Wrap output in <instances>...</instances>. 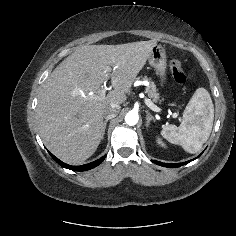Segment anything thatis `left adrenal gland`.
I'll list each match as a JSON object with an SVG mask.
<instances>
[{
    "instance_id": "a2214340",
    "label": "left adrenal gland",
    "mask_w": 236,
    "mask_h": 236,
    "mask_svg": "<svg viewBox=\"0 0 236 236\" xmlns=\"http://www.w3.org/2000/svg\"><path fill=\"white\" fill-rule=\"evenodd\" d=\"M146 114H147V117H146V127H148L150 125V122L153 121L155 122V119L154 117L150 114V112L148 110L145 111Z\"/></svg>"
}]
</instances>
